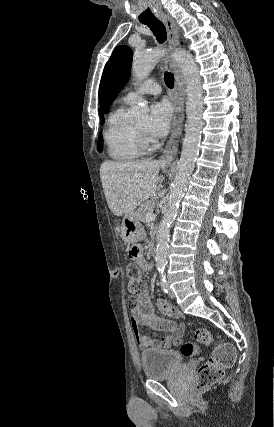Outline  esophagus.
Returning <instances> with one entry per match:
<instances>
[{
	"label": "esophagus",
	"mask_w": 274,
	"mask_h": 427,
	"mask_svg": "<svg viewBox=\"0 0 274 427\" xmlns=\"http://www.w3.org/2000/svg\"><path fill=\"white\" fill-rule=\"evenodd\" d=\"M160 20L165 25L168 36V44L170 51H175L179 44V31L178 27L173 20L167 14L159 15ZM170 68L172 69L175 76V85L172 95V102L175 109L172 129L169 139L167 140L165 147L162 151L160 158V165L167 167L174 162L178 151L179 139L182 135L183 123H184V101H185V79L180 71L178 65L174 60L169 62Z\"/></svg>",
	"instance_id": "34e87169"
}]
</instances>
